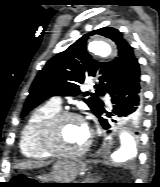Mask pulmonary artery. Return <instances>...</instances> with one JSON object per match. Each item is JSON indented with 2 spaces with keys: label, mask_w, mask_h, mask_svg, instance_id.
I'll use <instances>...</instances> for the list:
<instances>
[{
  "label": "pulmonary artery",
  "mask_w": 160,
  "mask_h": 187,
  "mask_svg": "<svg viewBox=\"0 0 160 187\" xmlns=\"http://www.w3.org/2000/svg\"><path fill=\"white\" fill-rule=\"evenodd\" d=\"M105 99H106V102H107V103H110V98H109V96H106ZM51 102H52L53 104L57 105L58 107H60V104H61L60 98L55 97V98L52 99Z\"/></svg>",
  "instance_id": "e3ab8cb5"
}]
</instances>
